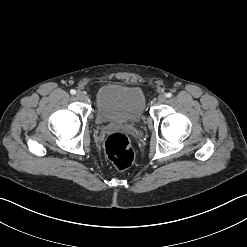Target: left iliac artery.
Segmentation results:
<instances>
[{"mask_svg": "<svg viewBox=\"0 0 247 247\" xmlns=\"http://www.w3.org/2000/svg\"><path fill=\"white\" fill-rule=\"evenodd\" d=\"M171 96H172V93H170V92L166 94V97H168V98H170Z\"/></svg>", "mask_w": 247, "mask_h": 247, "instance_id": "44dca946", "label": "left iliac artery"}]
</instances>
